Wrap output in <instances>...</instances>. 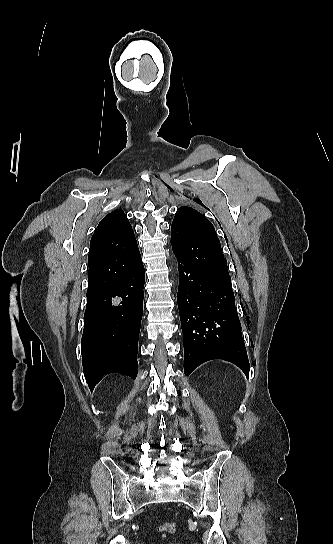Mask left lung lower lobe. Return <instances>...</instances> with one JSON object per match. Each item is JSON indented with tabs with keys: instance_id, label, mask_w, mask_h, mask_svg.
Wrapping results in <instances>:
<instances>
[{
	"instance_id": "obj_1",
	"label": "left lung lower lobe",
	"mask_w": 333,
	"mask_h": 544,
	"mask_svg": "<svg viewBox=\"0 0 333 544\" xmlns=\"http://www.w3.org/2000/svg\"><path fill=\"white\" fill-rule=\"evenodd\" d=\"M178 308L184 337V373L200 364L223 359L237 365L247 376L249 361L235 306L234 293L209 273L177 257Z\"/></svg>"
}]
</instances>
